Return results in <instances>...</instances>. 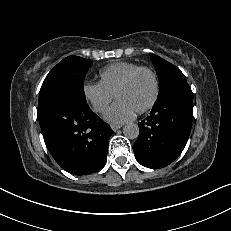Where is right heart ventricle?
Here are the masks:
<instances>
[{"label": "right heart ventricle", "mask_w": 231, "mask_h": 231, "mask_svg": "<svg viewBox=\"0 0 231 231\" xmlns=\"http://www.w3.org/2000/svg\"><path fill=\"white\" fill-rule=\"evenodd\" d=\"M138 67L140 65L133 62L120 61L109 64L100 70V82L115 94L119 84Z\"/></svg>", "instance_id": "e07e8e85"}]
</instances>
